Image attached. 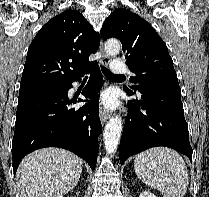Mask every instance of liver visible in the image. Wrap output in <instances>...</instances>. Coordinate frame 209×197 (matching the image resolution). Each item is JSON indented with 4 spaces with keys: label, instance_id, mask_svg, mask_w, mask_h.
Segmentation results:
<instances>
[{
    "label": "liver",
    "instance_id": "6515ba94",
    "mask_svg": "<svg viewBox=\"0 0 209 197\" xmlns=\"http://www.w3.org/2000/svg\"><path fill=\"white\" fill-rule=\"evenodd\" d=\"M83 161L59 148H44L28 154L18 175L21 197H63L78 183Z\"/></svg>",
    "mask_w": 209,
    "mask_h": 197
}]
</instances>
